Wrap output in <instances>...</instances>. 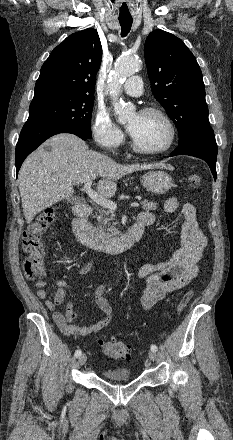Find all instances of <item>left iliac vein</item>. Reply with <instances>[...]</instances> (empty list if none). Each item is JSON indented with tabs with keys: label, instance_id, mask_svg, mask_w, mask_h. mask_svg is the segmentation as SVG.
I'll return each mask as SVG.
<instances>
[{
	"label": "left iliac vein",
	"instance_id": "left-iliac-vein-1",
	"mask_svg": "<svg viewBox=\"0 0 233 440\" xmlns=\"http://www.w3.org/2000/svg\"><path fill=\"white\" fill-rule=\"evenodd\" d=\"M148 356H149V359L152 360V361L156 360V358H157V354L153 350L148 352Z\"/></svg>",
	"mask_w": 233,
	"mask_h": 440
}]
</instances>
